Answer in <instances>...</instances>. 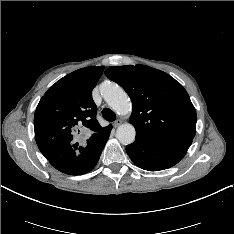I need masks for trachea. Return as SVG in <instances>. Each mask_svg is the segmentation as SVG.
Listing matches in <instances>:
<instances>
[{"label":"trachea","instance_id":"obj_1","mask_svg":"<svg viewBox=\"0 0 234 234\" xmlns=\"http://www.w3.org/2000/svg\"><path fill=\"white\" fill-rule=\"evenodd\" d=\"M102 116L105 120L112 122L116 119V114L109 108H104L102 110Z\"/></svg>","mask_w":234,"mask_h":234}]
</instances>
